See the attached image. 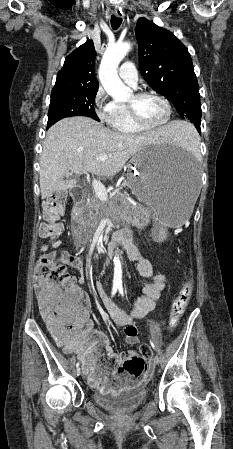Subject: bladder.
Segmentation results:
<instances>
[{"label": "bladder", "mask_w": 233, "mask_h": 449, "mask_svg": "<svg viewBox=\"0 0 233 449\" xmlns=\"http://www.w3.org/2000/svg\"><path fill=\"white\" fill-rule=\"evenodd\" d=\"M146 397V390L141 389L123 390L116 396L93 393V400L99 407L115 413L135 410L146 400Z\"/></svg>", "instance_id": "31cf9c89"}]
</instances>
